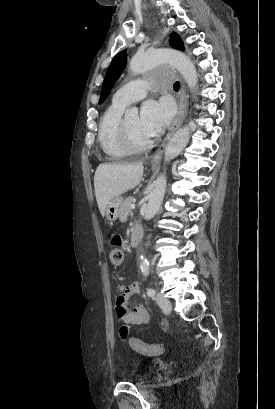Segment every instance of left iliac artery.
Here are the masks:
<instances>
[{
    "instance_id": "obj_1",
    "label": "left iliac artery",
    "mask_w": 275,
    "mask_h": 409,
    "mask_svg": "<svg viewBox=\"0 0 275 409\" xmlns=\"http://www.w3.org/2000/svg\"><path fill=\"white\" fill-rule=\"evenodd\" d=\"M155 294H156V292H155V290H154L153 288H149V289L147 290V295H148L149 297H153Z\"/></svg>"
}]
</instances>
